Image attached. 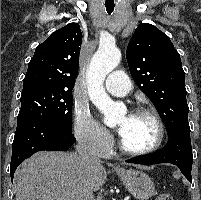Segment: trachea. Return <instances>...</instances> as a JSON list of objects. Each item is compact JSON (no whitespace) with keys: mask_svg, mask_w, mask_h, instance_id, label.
<instances>
[{"mask_svg":"<svg viewBox=\"0 0 201 200\" xmlns=\"http://www.w3.org/2000/svg\"><path fill=\"white\" fill-rule=\"evenodd\" d=\"M106 7V11L109 15L112 14V12L114 11V5L110 6V5H105Z\"/></svg>","mask_w":201,"mask_h":200,"instance_id":"obj_1","label":"trachea"}]
</instances>
